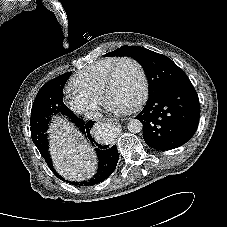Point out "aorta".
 <instances>
[{"instance_id":"obj_1","label":"aorta","mask_w":227,"mask_h":227,"mask_svg":"<svg viewBox=\"0 0 227 227\" xmlns=\"http://www.w3.org/2000/svg\"><path fill=\"white\" fill-rule=\"evenodd\" d=\"M127 128L131 133H139L143 129V124L138 119H131L127 125Z\"/></svg>"}]
</instances>
